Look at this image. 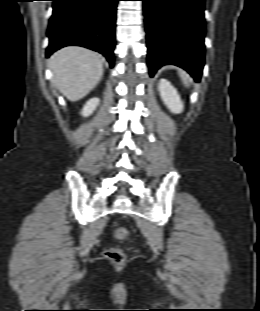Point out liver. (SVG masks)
<instances>
[{"mask_svg":"<svg viewBox=\"0 0 260 311\" xmlns=\"http://www.w3.org/2000/svg\"><path fill=\"white\" fill-rule=\"evenodd\" d=\"M50 67L54 85L70 101L85 97L98 84L104 71L98 53L76 46L57 51L50 58Z\"/></svg>","mask_w":260,"mask_h":311,"instance_id":"liver-1","label":"liver"}]
</instances>
